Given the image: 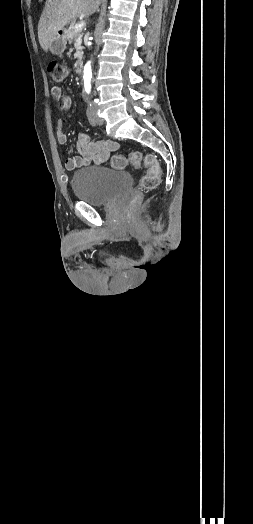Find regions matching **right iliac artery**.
<instances>
[{
	"instance_id": "obj_1",
	"label": "right iliac artery",
	"mask_w": 253,
	"mask_h": 524,
	"mask_svg": "<svg viewBox=\"0 0 253 524\" xmlns=\"http://www.w3.org/2000/svg\"><path fill=\"white\" fill-rule=\"evenodd\" d=\"M86 114H87L89 123L92 126H96V118H95V114H94L91 106L87 108Z\"/></svg>"
}]
</instances>
